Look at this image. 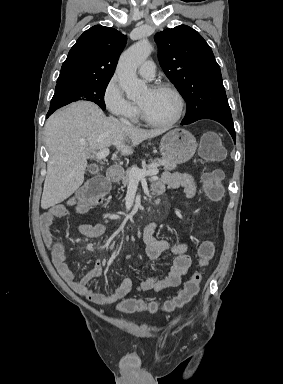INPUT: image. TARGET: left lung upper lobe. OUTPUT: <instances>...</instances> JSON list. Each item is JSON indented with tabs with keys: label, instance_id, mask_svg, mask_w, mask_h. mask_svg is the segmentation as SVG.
<instances>
[{
	"label": "left lung upper lobe",
	"instance_id": "5c2ea615",
	"mask_svg": "<svg viewBox=\"0 0 283 384\" xmlns=\"http://www.w3.org/2000/svg\"><path fill=\"white\" fill-rule=\"evenodd\" d=\"M159 62L187 102L182 122L204 115L231 113L220 67L204 38L187 25L155 35Z\"/></svg>",
	"mask_w": 283,
	"mask_h": 384
}]
</instances>
